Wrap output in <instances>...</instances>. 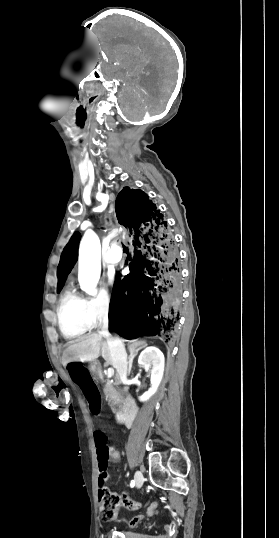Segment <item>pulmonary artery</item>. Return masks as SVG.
Here are the masks:
<instances>
[{
  "label": "pulmonary artery",
  "instance_id": "pulmonary-artery-1",
  "mask_svg": "<svg viewBox=\"0 0 279 538\" xmlns=\"http://www.w3.org/2000/svg\"><path fill=\"white\" fill-rule=\"evenodd\" d=\"M119 262V257L117 256H105L103 260L104 267L106 269H113Z\"/></svg>",
  "mask_w": 279,
  "mask_h": 538
}]
</instances>
